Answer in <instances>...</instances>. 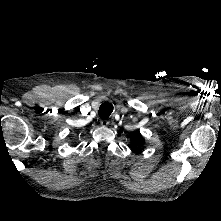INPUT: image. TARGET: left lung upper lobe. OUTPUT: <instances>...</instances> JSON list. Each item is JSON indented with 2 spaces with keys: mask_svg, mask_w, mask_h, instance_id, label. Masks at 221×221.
Masks as SVG:
<instances>
[{
  "mask_svg": "<svg viewBox=\"0 0 221 221\" xmlns=\"http://www.w3.org/2000/svg\"><path fill=\"white\" fill-rule=\"evenodd\" d=\"M142 143H144V138L139 133L131 137V144L134 148L140 146Z\"/></svg>",
  "mask_w": 221,
  "mask_h": 221,
  "instance_id": "1",
  "label": "left lung upper lobe"
}]
</instances>
